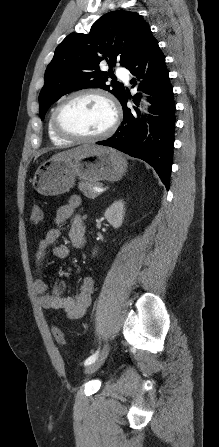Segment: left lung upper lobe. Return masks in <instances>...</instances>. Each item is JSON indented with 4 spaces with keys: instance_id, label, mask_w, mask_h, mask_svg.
Wrapping results in <instances>:
<instances>
[{
    "instance_id": "left-lung-upper-lobe-1",
    "label": "left lung upper lobe",
    "mask_w": 219,
    "mask_h": 447,
    "mask_svg": "<svg viewBox=\"0 0 219 447\" xmlns=\"http://www.w3.org/2000/svg\"><path fill=\"white\" fill-rule=\"evenodd\" d=\"M151 34L148 23L139 14L125 10L103 15L89 34H69L56 48L45 72L39 95L41 119L60 97L79 89L102 88L120 101L125 94L123 84H106L107 75H113L111 64L126 66ZM105 61L110 66L108 72L99 69Z\"/></svg>"
}]
</instances>
